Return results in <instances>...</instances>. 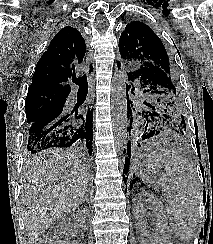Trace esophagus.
<instances>
[{
  "label": "esophagus",
  "mask_w": 213,
  "mask_h": 244,
  "mask_svg": "<svg viewBox=\"0 0 213 244\" xmlns=\"http://www.w3.org/2000/svg\"><path fill=\"white\" fill-rule=\"evenodd\" d=\"M91 65L93 66L92 63H91ZM87 73L89 75V82H90V84H93V81H94V73L92 72V67L88 68Z\"/></svg>",
  "instance_id": "1"
}]
</instances>
